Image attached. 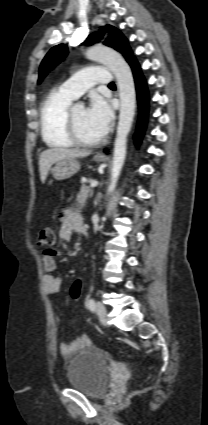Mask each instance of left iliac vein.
<instances>
[{
  "label": "left iliac vein",
  "instance_id": "obj_1",
  "mask_svg": "<svg viewBox=\"0 0 208 425\" xmlns=\"http://www.w3.org/2000/svg\"><path fill=\"white\" fill-rule=\"evenodd\" d=\"M96 313H97L100 321L105 322L107 311H106L104 304L100 301H98L96 303Z\"/></svg>",
  "mask_w": 208,
  "mask_h": 425
}]
</instances>
